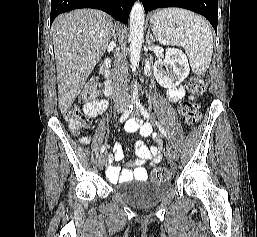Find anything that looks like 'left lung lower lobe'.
Masks as SVG:
<instances>
[{
    "label": "left lung lower lobe",
    "instance_id": "obj_1",
    "mask_svg": "<svg viewBox=\"0 0 257 237\" xmlns=\"http://www.w3.org/2000/svg\"><path fill=\"white\" fill-rule=\"evenodd\" d=\"M145 13L157 8H185L206 17L217 32L218 1L217 0H142Z\"/></svg>",
    "mask_w": 257,
    "mask_h": 237
}]
</instances>
